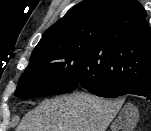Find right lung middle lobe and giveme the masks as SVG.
Returning <instances> with one entry per match:
<instances>
[{
	"label": "right lung middle lobe",
	"instance_id": "right-lung-middle-lobe-1",
	"mask_svg": "<svg viewBox=\"0 0 151 131\" xmlns=\"http://www.w3.org/2000/svg\"><path fill=\"white\" fill-rule=\"evenodd\" d=\"M82 82H107L96 60L76 43L35 48L18 81L15 96L33 98L74 91Z\"/></svg>",
	"mask_w": 151,
	"mask_h": 131
}]
</instances>
